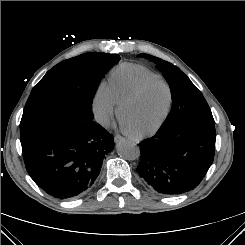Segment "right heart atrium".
<instances>
[{
	"label": "right heart atrium",
	"instance_id": "d8ad5b80",
	"mask_svg": "<svg viewBox=\"0 0 245 245\" xmlns=\"http://www.w3.org/2000/svg\"><path fill=\"white\" fill-rule=\"evenodd\" d=\"M92 108L97 121L103 126L110 125L117 116V102L106 83L99 84L93 98Z\"/></svg>",
	"mask_w": 245,
	"mask_h": 245
}]
</instances>
